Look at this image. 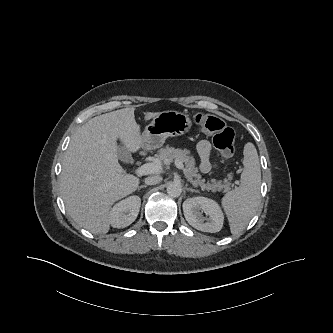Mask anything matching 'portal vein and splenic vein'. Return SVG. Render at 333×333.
Returning <instances> with one entry per match:
<instances>
[{"mask_svg": "<svg viewBox=\"0 0 333 333\" xmlns=\"http://www.w3.org/2000/svg\"><path fill=\"white\" fill-rule=\"evenodd\" d=\"M175 166L179 169H183L184 165L181 161L175 160ZM161 166L158 163H146L135 170V173L139 176L156 173L160 170Z\"/></svg>", "mask_w": 333, "mask_h": 333, "instance_id": "obj_1", "label": "portal vein and splenic vein"}]
</instances>
